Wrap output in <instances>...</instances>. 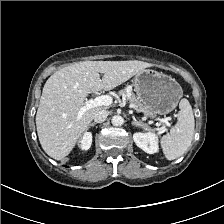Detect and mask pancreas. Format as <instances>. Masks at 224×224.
Returning <instances> with one entry per match:
<instances>
[{
  "instance_id": "cf45deb5",
  "label": "pancreas",
  "mask_w": 224,
  "mask_h": 224,
  "mask_svg": "<svg viewBox=\"0 0 224 224\" xmlns=\"http://www.w3.org/2000/svg\"><path fill=\"white\" fill-rule=\"evenodd\" d=\"M119 94L123 97H126V99L130 102V104L135 105V109L137 111L140 110L145 111L144 105L139 101V99L135 96L134 93H132L131 91L128 92V88L121 90Z\"/></svg>"
}]
</instances>
